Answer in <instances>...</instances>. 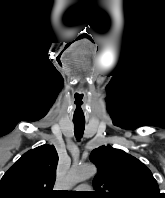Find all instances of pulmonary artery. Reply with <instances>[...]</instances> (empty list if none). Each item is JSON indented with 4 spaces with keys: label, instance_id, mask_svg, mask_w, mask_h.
Returning <instances> with one entry per match:
<instances>
[{
    "label": "pulmonary artery",
    "instance_id": "1",
    "mask_svg": "<svg viewBox=\"0 0 165 198\" xmlns=\"http://www.w3.org/2000/svg\"><path fill=\"white\" fill-rule=\"evenodd\" d=\"M88 187L86 185H80L77 189L78 190H84L87 189Z\"/></svg>",
    "mask_w": 165,
    "mask_h": 198
}]
</instances>
